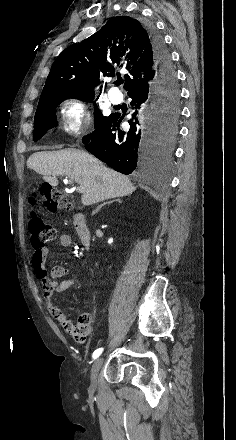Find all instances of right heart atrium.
<instances>
[{"label": "right heart atrium", "mask_w": 236, "mask_h": 440, "mask_svg": "<svg viewBox=\"0 0 236 440\" xmlns=\"http://www.w3.org/2000/svg\"><path fill=\"white\" fill-rule=\"evenodd\" d=\"M59 121L62 130L70 136L82 135L90 126V115L83 100L69 97L59 107Z\"/></svg>", "instance_id": "1"}]
</instances>
